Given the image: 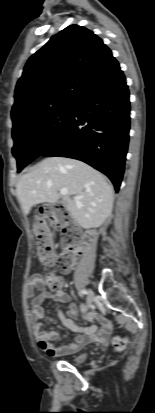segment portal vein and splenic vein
Instances as JSON below:
<instances>
[{
  "instance_id": "18ae733b",
  "label": "portal vein and splenic vein",
  "mask_w": 155,
  "mask_h": 413,
  "mask_svg": "<svg viewBox=\"0 0 155 413\" xmlns=\"http://www.w3.org/2000/svg\"><path fill=\"white\" fill-rule=\"evenodd\" d=\"M60 194L63 195V196L67 195V194H68L67 188H62V189L60 190ZM80 198H81V197H75V200H78V199H80Z\"/></svg>"
}]
</instances>
